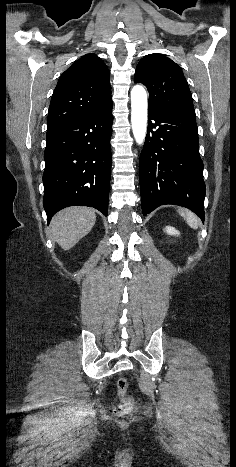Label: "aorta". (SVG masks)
<instances>
[{
  "label": "aorta",
  "mask_w": 236,
  "mask_h": 467,
  "mask_svg": "<svg viewBox=\"0 0 236 467\" xmlns=\"http://www.w3.org/2000/svg\"><path fill=\"white\" fill-rule=\"evenodd\" d=\"M147 93L143 86L135 85L131 90V124L136 142L145 141L147 131Z\"/></svg>",
  "instance_id": "762f6f07"
}]
</instances>
